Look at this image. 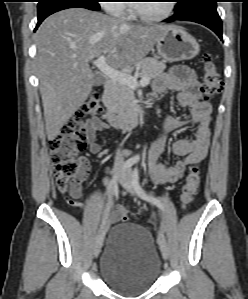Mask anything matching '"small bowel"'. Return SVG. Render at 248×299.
I'll list each match as a JSON object with an SVG mask.
<instances>
[{"instance_id":"c3829d8e","label":"small bowel","mask_w":248,"mask_h":299,"mask_svg":"<svg viewBox=\"0 0 248 299\" xmlns=\"http://www.w3.org/2000/svg\"><path fill=\"white\" fill-rule=\"evenodd\" d=\"M167 91L177 93V103L182 108H188L190 115L186 119L166 117L163 119L161 130L151 144L148 155V171L152 181L156 184L174 183L179 181L184 173L191 168L198 167L205 159L211 135L210 103L201 99L200 82L196 74L186 67H176L170 73L162 75L154 84L153 95H162ZM186 126H195L194 139L180 138L173 144V152L182 159L172 166H165L161 156L165 152V137L167 134ZM86 131L87 148L92 154H100L104 140L102 133L109 129L108 124L99 118H93L82 124ZM86 169L89 164L87 161ZM118 209L110 216L111 222L118 221Z\"/></svg>"}]
</instances>
